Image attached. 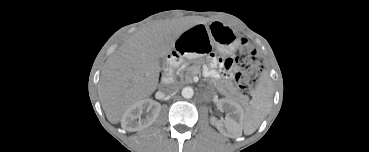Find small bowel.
<instances>
[{"mask_svg":"<svg viewBox=\"0 0 369 152\" xmlns=\"http://www.w3.org/2000/svg\"><path fill=\"white\" fill-rule=\"evenodd\" d=\"M206 74H207V75H213V74H214V72H213L212 70H207V71H206Z\"/></svg>","mask_w":369,"mask_h":152,"instance_id":"small-bowel-1","label":"small bowel"}]
</instances>
